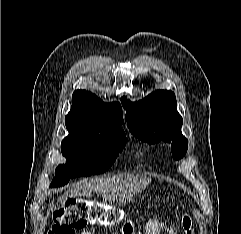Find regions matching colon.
Instances as JSON below:
<instances>
[{
  "label": "colon",
  "instance_id": "colon-1",
  "mask_svg": "<svg viewBox=\"0 0 241 234\" xmlns=\"http://www.w3.org/2000/svg\"><path fill=\"white\" fill-rule=\"evenodd\" d=\"M119 221V211L111 206L92 200L69 198L55 212L48 234H76L87 224L112 226ZM182 228L185 234H193L189 216L183 217Z\"/></svg>",
  "mask_w": 241,
  "mask_h": 234
}]
</instances>
